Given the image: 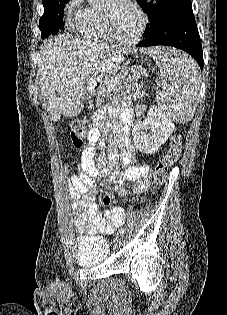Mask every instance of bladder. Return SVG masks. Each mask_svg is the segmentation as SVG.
Listing matches in <instances>:
<instances>
[{
	"instance_id": "1",
	"label": "bladder",
	"mask_w": 227,
	"mask_h": 315,
	"mask_svg": "<svg viewBox=\"0 0 227 315\" xmlns=\"http://www.w3.org/2000/svg\"><path fill=\"white\" fill-rule=\"evenodd\" d=\"M108 255L109 244L105 238L87 236L78 242L75 258L82 266L94 267L104 262Z\"/></svg>"
}]
</instances>
